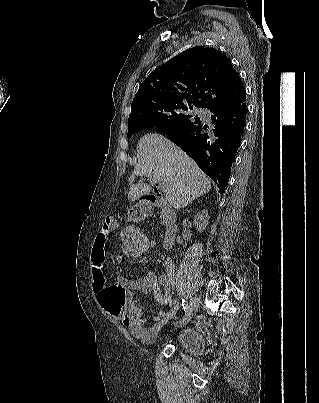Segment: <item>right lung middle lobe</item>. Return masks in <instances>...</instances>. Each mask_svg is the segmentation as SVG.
<instances>
[{"mask_svg": "<svg viewBox=\"0 0 319 403\" xmlns=\"http://www.w3.org/2000/svg\"><path fill=\"white\" fill-rule=\"evenodd\" d=\"M192 105L164 104L146 109L138 117L128 120V134H133L147 128L156 127L162 133L181 130L194 125L200 118L187 114Z\"/></svg>", "mask_w": 319, "mask_h": 403, "instance_id": "right-lung-middle-lobe-1", "label": "right lung middle lobe"}]
</instances>
